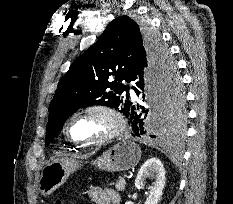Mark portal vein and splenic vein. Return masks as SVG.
I'll return each instance as SVG.
<instances>
[{
    "instance_id": "portal-vein-and-splenic-vein-1",
    "label": "portal vein and splenic vein",
    "mask_w": 233,
    "mask_h": 204,
    "mask_svg": "<svg viewBox=\"0 0 233 204\" xmlns=\"http://www.w3.org/2000/svg\"><path fill=\"white\" fill-rule=\"evenodd\" d=\"M121 180H125L124 177H121Z\"/></svg>"
}]
</instances>
